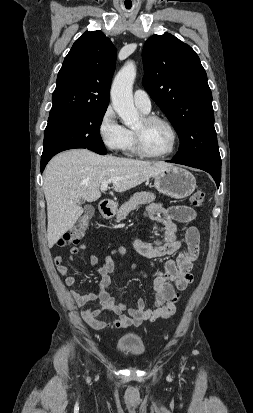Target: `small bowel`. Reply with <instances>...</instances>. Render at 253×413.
<instances>
[{
  "instance_id": "small-bowel-1",
  "label": "small bowel",
  "mask_w": 253,
  "mask_h": 413,
  "mask_svg": "<svg viewBox=\"0 0 253 413\" xmlns=\"http://www.w3.org/2000/svg\"><path fill=\"white\" fill-rule=\"evenodd\" d=\"M145 216L161 223L164 226V235L155 239L153 244L136 239L134 245L137 253L147 258L179 253L175 259L168 260L162 270H158L152 275L151 284L154 291V306L152 308L146 306L143 298L137 299L132 307H127L124 303L116 302L106 291L115 270L113 257L125 255L124 248L114 250L112 255L108 256L102 264H99L95 255H91L90 263L96 268L100 277L99 290L87 293L72 290L71 296L79 308L91 301H99V307L88 308L81 313L86 324L95 330L137 327L145 321L153 322L169 318L176 312V303L180 298V293L193 280L191 270L193 262L198 257L200 243L199 231L193 224L196 212L188 206L165 207L161 203H152L146 207ZM176 222L186 225L182 239L176 237ZM183 244L184 248H182ZM85 248V244L73 246L70 250V261H73L75 256ZM53 262L57 272L64 277L65 284L70 287L74 286L77 280L69 274L68 267L63 264L62 256H55ZM132 268L138 269L139 266L134 263ZM107 311L114 313L118 318L109 323L100 320L99 316Z\"/></svg>"
}]
</instances>
